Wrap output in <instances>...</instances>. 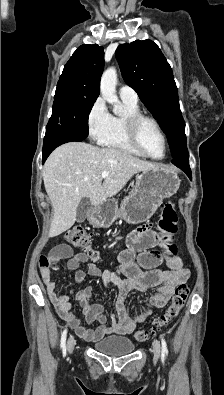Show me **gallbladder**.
I'll return each instance as SVG.
<instances>
[{"instance_id": "1", "label": "gallbladder", "mask_w": 224, "mask_h": 395, "mask_svg": "<svg viewBox=\"0 0 224 395\" xmlns=\"http://www.w3.org/2000/svg\"><path fill=\"white\" fill-rule=\"evenodd\" d=\"M90 208H91L90 199L87 197L82 198L76 210V222L78 223L84 222L85 219L87 218Z\"/></svg>"}]
</instances>
